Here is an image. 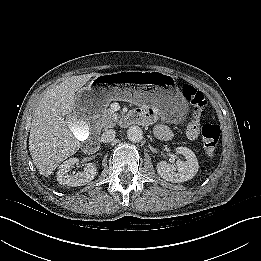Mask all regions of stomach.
Returning a JSON list of instances; mask_svg holds the SVG:
<instances>
[{
  "label": "stomach",
  "instance_id": "0dacf381",
  "mask_svg": "<svg viewBox=\"0 0 261 261\" xmlns=\"http://www.w3.org/2000/svg\"><path fill=\"white\" fill-rule=\"evenodd\" d=\"M84 91L88 104L84 111L100 112L112 100L132 101L140 105H155L162 115L180 119L187 102L175 86L174 78L158 71H123L96 76Z\"/></svg>",
  "mask_w": 261,
  "mask_h": 261
}]
</instances>
